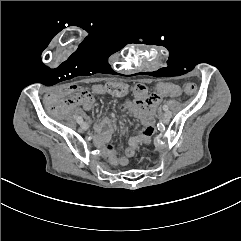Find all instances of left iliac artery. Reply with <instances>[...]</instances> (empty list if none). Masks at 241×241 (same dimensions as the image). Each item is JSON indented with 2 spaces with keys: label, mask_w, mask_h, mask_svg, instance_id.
I'll list each match as a JSON object with an SVG mask.
<instances>
[{
  "label": "left iliac artery",
  "mask_w": 241,
  "mask_h": 241,
  "mask_svg": "<svg viewBox=\"0 0 241 241\" xmlns=\"http://www.w3.org/2000/svg\"><path fill=\"white\" fill-rule=\"evenodd\" d=\"M163 110H164V111H167V110H168L167 105H163Z\"/></svg>",
  "instance_id": "1"
}]
</instances>
